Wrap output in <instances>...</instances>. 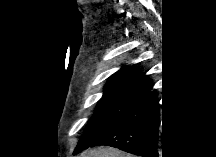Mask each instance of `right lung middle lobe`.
<instances>
[{"mask_svg": "<svg viewBox=\"0 0 216 157\" xmlns=\"http://www.w3.org/2000/svg\"><path fill=\"white\" fill-rule=\"evenodd\" d=\"M135 94L133 91H119L103 95L75 151L93 145L110 131L121 120Z\"/></svg>", "mask_w": 216, "mask_h": 157, "instance_id": "1", "label": "right lung middle lobe"}]
</instances>
